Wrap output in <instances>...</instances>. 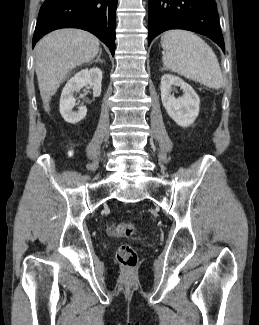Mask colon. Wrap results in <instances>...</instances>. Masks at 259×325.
<instances>
[{"label":"colon","mask_w":259,"mask_h":325,"mask_svg":"<svg viewBox=\"0 0 259 325\" xmlns=\"http://www.w3.org/2000/svg\"><path fill=\"white\" fill-rule=\"evenodd\" d=\"M134 231V225L129 222L115 224L110 229V233L114 237H130L134 234ZM116 259L121 266L126 268L135 267L138 261L136 250L129 244H122L118 247Z\"/></svg>","instance_id":"obj_1"}]
</instances>
